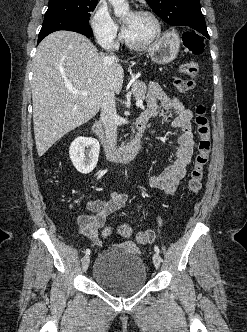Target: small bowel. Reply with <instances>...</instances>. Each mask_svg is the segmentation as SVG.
Returning a JSON list of instances; mask_svg holds the SVG:
<instances>
[{"label":"small bowel","instance_id":"obj_1","mask_svg":"<svg viewBox=\"0 0 247 332\" xmlns=\"http://www.w3.org/2000/svg\"><path fill=\"white\" fill-rule=\"evenodd\" d=\"M161 109L175 113L173 125L181 133L177 138L174 160L160 174L148 178L146 182L152 188L173 194L184 179L193 154L195 143L191 126L192 112L177 98L168 96L159 85L153 83L147 96L146 110L141 115L148 119L153 118L160 114ZM126 199L125 194L113 191L106 201H87L86 206L92 214L77 217L79 231L94 244H99V230L107 217L125 204Z\"/></svg>","mask_w":247,"mask_h":332}]
</instances>
